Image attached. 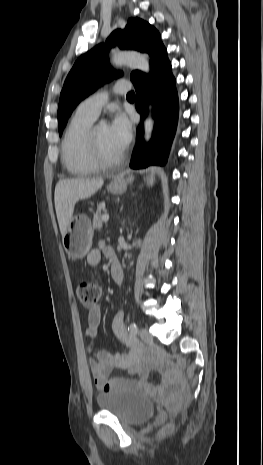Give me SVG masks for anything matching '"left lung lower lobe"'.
Here are the masks:
<instances>
[{"label":"left lung lower lobe","instance_id":"left-lung-lower-lobe-1","mask_svg":"<svg viewBox=\"0 0 263 465\" xmlns=\"http://www.w3.org/2000/svg\"><path fill=\"white\" fill-rule=\"evenodd\" d=\"M150 66L149 75L140 72L131 80L136 90L135 106L141 120L147 115L150 100L155 117L154 133L149 143H144L142 126L138 127L137 146L130 164L132 168L164 165L177 127L179 105L176 81L164 45L151 55Z\"/></svg>","mask_w":263,"mask_h":465}]
</instances>
